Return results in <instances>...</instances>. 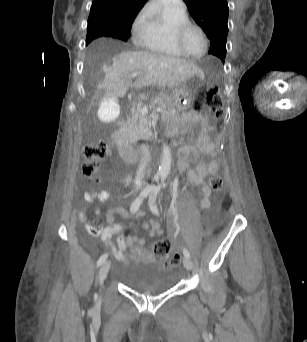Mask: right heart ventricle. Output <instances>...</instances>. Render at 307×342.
<instances>
[{
	"label": "right heart ventricle",
	"mask_w": 307,
	"mask_h": 342,
	"mask_svg": "<svg viewBox=\"0 0 307 342\" xmlns=\"http://www.w3.org/2000/svg\"><path fill=\"white\" fill-rule=\"evenodd\" d=\"M190 19L187 10H165L157 17L158 32L148 38L134 41L131 49L134 52L160 55L167 58L186 60L187 58L177 48L175 31L177 26Z\"/></svg>",
	"instance_id": "obj_1"
}]
</instances>
